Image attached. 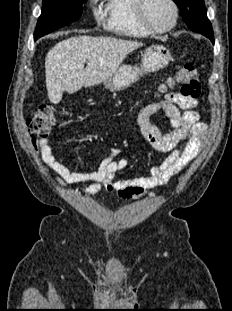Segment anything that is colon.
I'll use <instances>...</instances> for the list:
<instances>
[{
    "instance_id": "obj_1",
    "label": "colon",
    "mask_w": 232,
    "mask_h": 311,
    "mask_svg": "<svg viewBox=\"0 0 232 311\" xmlns=\"http://www.w3.org/2000/svg\"><path fill=\"white\" fill-rule=\"evenodd\" d=\"M175 83L181 85V94L185 97L197 100L201 93V84L196 65L185 63L182 65L175 76L170 79L167 86ZM55 121V114L51 107L41 106L33 118L30 120L29 128L37 134H45L49 131Z\"/></svg>"
}]
</instances>
